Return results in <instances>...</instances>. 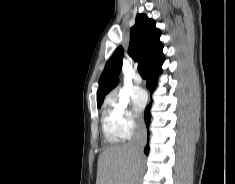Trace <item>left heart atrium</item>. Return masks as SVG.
<instances>
[{
    "label": "left heart atrium",
    "instance_id": "left-heart-atrium-1",
    "mask_svg": "<svg viewBox=\"0 0 235 184\" xmlns=\"http://www.w3.org/2000/svg\"><path fill=\"white\" fill-rule=\"evenodd\" d=\"M146 103V94L142 89H136L132 94L134 111L139 114Z\"/></svg>",
    "mask_w": 235,
    "mask_h": 184
}]
</instances>
